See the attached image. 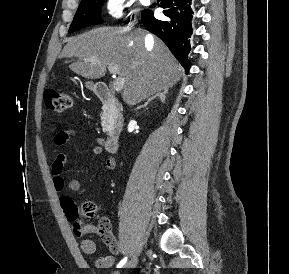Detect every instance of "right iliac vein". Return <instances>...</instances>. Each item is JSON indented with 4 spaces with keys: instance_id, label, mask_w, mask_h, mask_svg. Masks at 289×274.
I'll return each mask as SVG.
<instances>
[{
    "instance_id": "right-iliac-vein-1",
    "label": "right iliac vein",
    "mask_w": 289,
    "mask_h": 274,
    "mask_svg": "<svg viewBox=\"0 0 289 274\" xmlns=\"http://www.w3.org/2000/svg\"><path fill=\"white\" fill-rule=\"evenodd\" d=\"M138 262V257L134 256L130 261H128L124 268H134Z\"/></svg>"
}]
</instances>
